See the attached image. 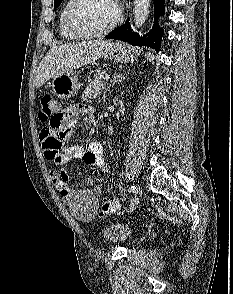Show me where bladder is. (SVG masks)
I'll return each instance as SVG.
<instances>
[{
    "label": "bladder",
    "instance_id": "31cf9c89",
    "mask_svg": "<svg viewBox=\"0 0 233 294\" xmlns=\"http://www.w3.org/2000/svg\"><path fill=\"white\" fill-rule=\"evenodd\" d=\"M103 237L110 243L125 244L132 240V230L123 223L114 222L103 230Z\"/></svg>",
    "mask_w": 233,
    "mask_h": 294
}]
</instances>
